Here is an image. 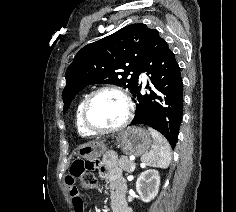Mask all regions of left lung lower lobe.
Listing matches in <instances>:
<instances>
[{
    "mask_svg": "<svg viewBox=\"0 0 236 212\" xmlns=\"http://www.w3.org/2000/svg\"><path fill=\"white\" fill-rule=\"evenodd\" d=\"M146 72L150 93L140 94L141 84L133 91L136 111L131 125L145 124L162 133L175 147L183 115V83L175 54L159 32L152 30L148 47L139 67Z\"/></svg>",
    "mask_w": 236,
    "mask_h": 212,
    "instance_id": "0a47b994",
    "label": "left lung lower lobe"
}]
</instances>
